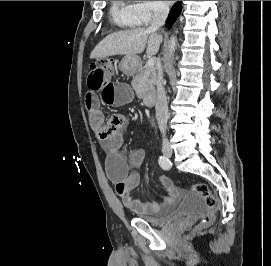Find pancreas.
<instances>
[{
    "label": "pancreas",
    "mask_w": 271,
    "mask_h": 266,
    "mask_svg": "<svg viewBox=\"0 0 271 266\" xmlns=\"http://www.w3.org/2000/svg\"><path fill=\"white\" fill-rule=\"evenodd\" d=\"M156 84V69L147 64L133 78L131 85L138 97H143L146 92L153 90Z\"/></svg>",
    "instance_id": "cf45deb5"
}]
</instances>
